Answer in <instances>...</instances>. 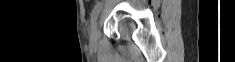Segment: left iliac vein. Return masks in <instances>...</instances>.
Masks as SVG:
<instances>
[{
	"instance_id": "1",
	"label": "left iliac vein",
	"mask_w": 235,
	"mask_h": 62,
	"mask_svg": "<svg viewBox=\"0 0 235 62\" xmlns=\"http://www.w3.org/2000/svg\"><path fill=\"white\" fill-rule=\"evenodd\" d=\"M98 39V22L95 21L90 28V41L92 44H96Z\"/></svg>"
}]
</instances>
